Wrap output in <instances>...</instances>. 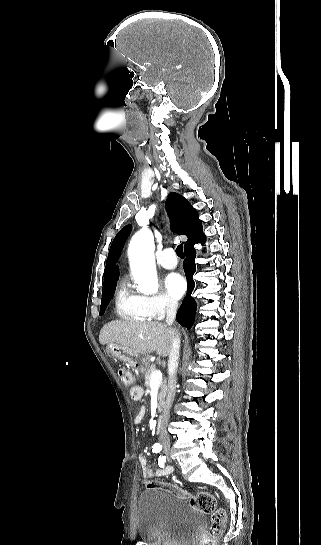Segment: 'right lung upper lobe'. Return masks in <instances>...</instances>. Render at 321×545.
<instances>
[{"label": "right lung upper lobe", "instance_id": "obj_1", "mask_svg": "<svg viewBox=\"0 0 321 545\" xmlns=\"http://www.w3.org/2000/svg\"><path fill=\"white\" fill-rule=\"evenodd\" d=\"M165 206L171 221V229L174 232L187 235L189 240L202 229L198 212L183 196L170 193ZM130 231L131 225L125 226L112 241L104 271L103 289L117 284L118 266L116 262Z\"/></svg>", "mask_w": 321, "mask_h": 545}]
</instances>
